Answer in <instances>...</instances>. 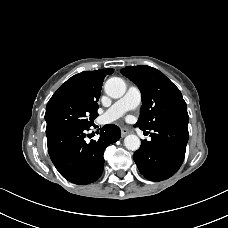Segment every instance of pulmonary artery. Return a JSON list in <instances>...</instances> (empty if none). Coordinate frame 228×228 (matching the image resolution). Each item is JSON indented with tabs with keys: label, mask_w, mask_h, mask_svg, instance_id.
Masks as SVG:
<instances>
[{
	"label": "pulmonary artery",
	"mask_w": 228,
	"mask_h": 228,
	"mask_svg": "<svg viewBox=\"0 0 228 228\" xmlns=\"http://www.w3.org/2000/svg\"><path fill=\"white\" fill-rule=\"evenodd\" d=\"M142 100L141 91L136 86H130L125 95L117 100L99 118L100 124H108L119 119L127 111L137 108Z\"/></svg>",
	"instance_id": "obj_1"
}]
</instances>
